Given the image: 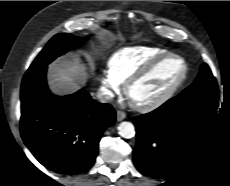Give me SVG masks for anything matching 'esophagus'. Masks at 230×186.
Instances as JSON below:
<instances>
[{"label":"esophagus","instance_id":"esophagus-1","mask_svg":"<svg viewBox=\"0 0 230 186\" xmlns=\"http://www.w3.org/2000/svg\"><path fill=\"white\" fill-rule=\"evenodd\" d=\"M125 117H126L125 112H123L121 110L117 111V113H116V119H117V121H122L123 119H125Z\"/></svg>","mask_w":230,"mask_h":186}]
</instances>
